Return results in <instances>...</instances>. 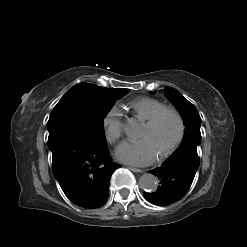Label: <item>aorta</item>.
Here are the masks:
<instances>
[{
	"label": "aorta",
	"mask_w": 247,
	"mask_h": 247,
	"mask_svg": "<svg viewBox=\"0 0 247 247\" xmlns=\"http://www.w3.org/2000/svg\"><path fill=\"white\" fill-rule=\"evenodd\" d=\"M124 131L127 136L134 137L139 131L138 122L131 120L124 126ZM140 186L147 192H154L158 187V179L155 175L146 173L140 178Z\"/></svg>",
	"instance_id": "1"
}]
</instances>
